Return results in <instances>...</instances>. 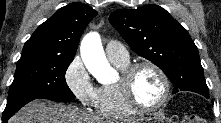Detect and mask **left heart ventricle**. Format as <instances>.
I'll use <instances>...</instances> for the list:
<instances>
[{"mask_svg":"<svg viewBox=\"0 0 221 123\" xmlns=\"http://www.w3.org/2000/svg\"><path fill=\"white\" fill-rule=\"evenodd\" d=\"M163 83L151 68L139 70L133 79V92L138 102L144 106H154L162 98Z\"/></svg>","mask_w":221,"mask_h":123,"instance_id":"obj_1","label":"left heart ventricle"}]
</instances>
